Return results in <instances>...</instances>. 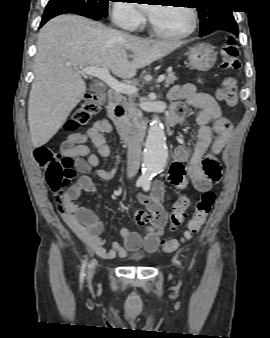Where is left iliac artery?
Instances as JSON below:
<instances>
[{
	"instance_id": "left-iliac-artery-1",
	"label": "left iliac artery",
	"mask_w": 270,
	"mask_h": 338,
	"mask_svg": "<svg viewBox=\"0 0 270 338\" xmlns=\"http://www.w3.org/2000/svg\"><path fill=\"white\" fill-rule=\"evenodd\" d=\"M143 189L144 191H148L150 189V183H146L144 186H143Z\"/></svg>"
}]
</instances>
